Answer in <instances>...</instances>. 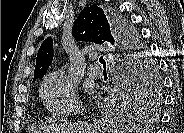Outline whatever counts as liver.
I'll return each mask as SVG.
<instances>
[{"instance_id": "liver-1", "label": "liver", "mask_w": 184, "mask_h": 133, "mask_svg": "<svg viewBox=\"0 0 184 133\" xmlns=\"http://www.w3.org/2000/svg\"><path fill=\"white\" fill-rule=\"evenodd\" d=\"M43 133H103L106 129L99 122L94 121L92 124L88 123H73L70 125L64 124L58 127H44ZM144 131V130H141ZM41 132V131H40Z\"/></svg>"}]
</instances>
